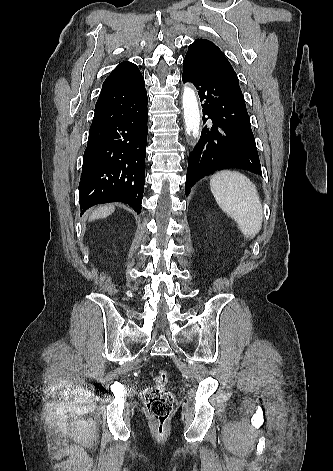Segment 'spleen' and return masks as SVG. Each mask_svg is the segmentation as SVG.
I'll list each match as a JSON object with an SVG mask.
<instances>
[{
    "label": "spleen",
    "instance_id": "3e777b00",
    "mask_svg": "<svg viewBox=\"0 0 333 471\" xmlns=\"http://www.w3.org/2000/svg\"><path fill=\"white\" fill-rule=\"evenodd\" d=\"M219 207L238 224L247 239L254 238L263 222V208L252 181L237 171H220L210 179Z\"/></svg>",
    "mask_w": 333,
    "mask_h": 471
}]
</instances>
